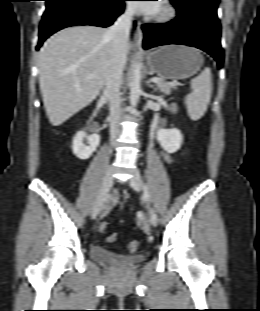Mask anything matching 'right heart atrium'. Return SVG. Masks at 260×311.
<instances>
[{
    "instance_id": "d8ad5b80",
    "label": "right heart atrium",
    "mask_w": 260,
    "mask_h": 311,
    "mask_svg": "<svg viewBox=\"0 0 260 311\" xmlns=\"http://www.w3.org/2000/svg\"><path fill=\"white\" fill-rule=\"evenodd\" d=\"M126 13H127V14H131V13H132L131 9H130V8H127V9H126Z\"/></svg>"
}]
</instances>
